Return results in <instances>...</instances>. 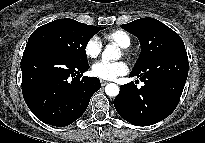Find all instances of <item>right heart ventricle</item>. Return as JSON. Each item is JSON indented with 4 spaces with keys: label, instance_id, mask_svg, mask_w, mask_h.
I'll use <instances>...</instances> for the list:
<instances>
[{
    "label": "right heart ventricle",
    "instance_id": "obj_1",
    "mask_svg": "<svg viewBox=\"0 0 205 143\" xmlns=\"http://www.w3.org/2000/svg\"><path fill=\"white\" fill-rule=\"evenodd\" d=\"M104 38L107 41L117 44L121 48H128L132 42L130 35L124 30H114L106 33Z\"/></svg>",
    "mask_w": 205,
    "mask_h": 143
}]
</instances>
